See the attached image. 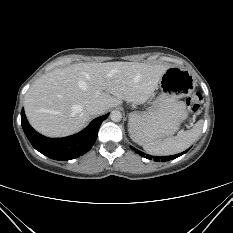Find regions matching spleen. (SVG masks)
Wrapping results in <instances>:
<instances>
[{"label": "spleen", "instance_id": "obj_1", "mask_svg": "<svg viewBox=\"0 0 233 233\" xmlns=\"http://www.w3.org/2000/svg\"><path fill=\"white\" fill-rule=\"evenodd\" d=\"M203 121H198L191 130L182 132L174 137L165 138L159 142L149 143L138 133H133L132 138L144 150L152 155H173L189 148L201 134Z\"/></svg>", "mask_w": 233, "mask_h": 233}]
</instances>
